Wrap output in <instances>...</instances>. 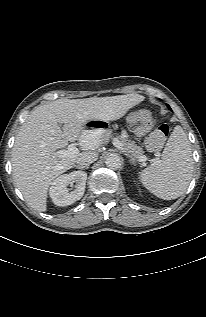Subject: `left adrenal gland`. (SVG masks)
<instances>
[{"mask_svg":"<svg viewBox=\"0 0 206 317\" xmlns=\"http://www.w3.org/2000/svg\"><path fill=\"white\" fill-rule=\"evenodd\" d=\"M129 158H130V161L132 162V163H135L136 162V159L134 158V157H132V156H130V155H128V154H126Z\"/></svg>","mask_w":206,"mask_h":317,"instance_id":"left-adrenal-gland-1","label":"left adrenal gland"}]
</instances>
